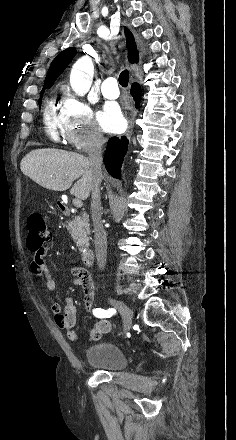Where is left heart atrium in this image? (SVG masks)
I'll use <instances>...</instances> for the list:
<instances>
[{"label":"left heart atrium","instance_id":"39dd6f15","mask_svg":"<svg viewBox=\"0 0 236 440\" xmlns=\"http://www.w3.org/2000/svg\"><path fill=\"white\" fill-rule=\"evenodd\" d=\"M102 128L107 132H117L123 126V117L119 107L108 104L99 116Z\"/></svg>","mask_w":236,"mask_h":440}]
</instances>
